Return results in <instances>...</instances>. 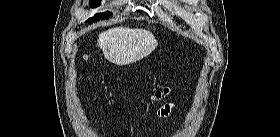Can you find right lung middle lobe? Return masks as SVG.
Wrapping results in <instances>:
<instances>
[{"mask_svg": "<svg viewBox=\"0 0 280 137\" xmlns=\"http://www.w3.org/2000/svg\"><path fill=\"white\" fill-rule=\"evenodd\" d=\"M92 8L98 7L100 5L99 0L89 1ZM111 14L109 12L96 14L95 17L89 19V22L97 21L99 19H108Z\"/></svg>", "mask_w": 280, "mask_h": 137, "instance_id": "dd1d6c3e", "label": "right lung middle lobe"}]
</instances>
